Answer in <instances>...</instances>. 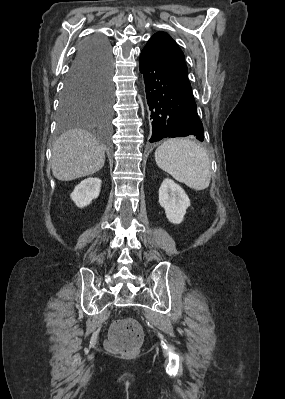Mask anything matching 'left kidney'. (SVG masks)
I'll use <instances>...</instances> for the list:
<instances>
[{
	"instance_id": "1",
	"label": "left kidney",
	"mask_w": 285,
	"mask_h": 399,
	"mask_svg": "<svg viewBox=\"0 0 285 399\" xmlns=\"http://www.w3.org/2000/svg\"><path fill=\"white\" fill-rule=\"evenodd\" d=\"M159 204L165 209L167 219L173 224H180L190 206L185 191L171 179H164L159 188Z\"/></svg>"
}]
</instances>
